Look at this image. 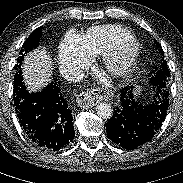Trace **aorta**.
Listing matches in <instances>:
<instances>
[{"label": "aorta", "mask_w": 183, "mask_h": 183, "mask_svg": "<svg viewBox=\"0 0 183 183\" xmlns=\"http://www.w3.org/2000/svg\"><path fill=\"white\" fill-rule=\"evenodd\" d=\"M96 111L99 117L108 119L113 114V109L110 104L106 102L99 103L96 107Z\"/></svg>", "instance_id": "obj_1"}]
</instances>
